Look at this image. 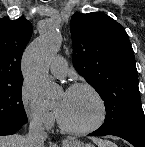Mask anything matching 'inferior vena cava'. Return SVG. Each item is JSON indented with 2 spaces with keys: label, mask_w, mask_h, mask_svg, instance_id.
<instances>
[{
  "label": "inferior vena cava",
  "mask_w": 145,
  "mask_h": 147,
  "mask_svg": "<svg viewBox=\"0 0 145 147\" xmlns=\"http://www.w3.org/2000/svg\"><path fill=\"white\" fill-rule=\"evenodd\" d=\"M47 138L42 121L34 117L30 121L29 132L25 138L26 147H44V141Z\"/></svg>",
  "instance_id": "obj_1"
}]
</instances>
